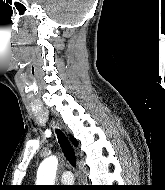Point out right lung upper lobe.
I'll return each mask as SVG.
<instances>
[{
    "instance_id": "obj_1",
    "label": "right lung upper lobe",
    "mask_w": 165,
    "mask_h": 190,
    "mask_svg": "<svg viewBox=\"0 0 165 190\" xmlns=\"http://www.w3.org/2000/svg\"><path fill=\"white\" fill-rule=\"evenodd\" d=\"M73 145H77V141L75 139L72 140Z\"/></svg>"
}]
</instances>
